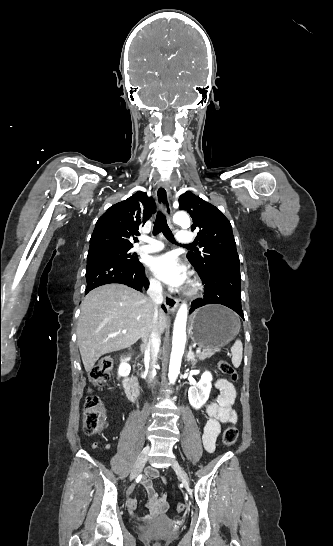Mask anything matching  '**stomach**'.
Returning <instances> with one entry per match:
<instances>
[{"label":"stomach","mask_w":333,"mask_h":546,"mask_svg":"<svg viewBox=\"0 0 333 546\" xmlns=\"http://www.w3.org/2000/svg\"><path fill=\"white\" fill-rule=\"evenodd\" d=\"M238 318L222 305H207L192 316L190 334L195 344L203 349L217 350L237 335Z\"/></svg>","instance_id":"1"}]
</instances>
